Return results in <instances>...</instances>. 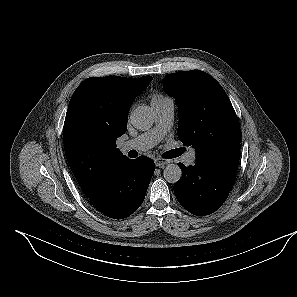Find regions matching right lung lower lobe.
<instances>
[{"label": "right lung lower lobe", "instance_id": "right-lung-lower-lobe-1", "mask_svg": "<svg viewBox=\"0 0 297 297\" xmlns=\"http://www.w3.org/2000/svg\"><path fill=\"white\" fill-rule=\"evenodd\" d=\"M155 170L152 159L125 158L114 166L91 203L107 217L123 219L142 204Z\"/></svg>", "mask_w": 297, "mask_h": 297}]
</instances>
